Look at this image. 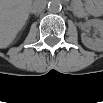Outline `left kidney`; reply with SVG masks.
<instances>
[{
    "label": "left kidney",
    "mask_w": 103,
    "mask_h": 103,
    "mask_svg": "<svg viewBox=\"0 0 103 103\" xmlns=\"http://www.w3.org/2000/svg\"><path fill=\"white\" fill-rule=\"evenodd\" d=\"M86 25L95 27L98 30L100 37L90 38L83 33L81 35L82 43L91 50L101 51L103 49V21L100 19H91Z\"/></svg>",
    "instance_id": "obj_1"
}]
</instances>
